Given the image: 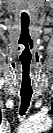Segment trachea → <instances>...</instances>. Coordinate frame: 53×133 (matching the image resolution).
Listing matches in <instances>:
<instances>
[{"label": "trachea", "mask_w": 53, "mask_h": 133, "mask_svg": "<svg viewBox=\"0 0 53 133\" xmlns=\"http://www.w3.org/2000/svg\"><path fill=\"white\" fill-rule=\"evenodd\" d=\"M32 89L31 88H21L20 96H21V106H20V115L23 116L27 111L30 100L32 97Z\"/></svg>", "instance_id": "trachea-1"}]
</instances>
